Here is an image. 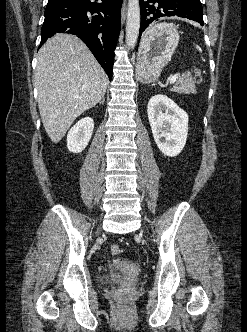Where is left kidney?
<instances>
[{
    "mask_svg": "<svg viewBox=\"0 0 247 332\" xmlns=\"http://www.w3.org/2000/svg\"><path fill=\"white\" fill-rule=\"evenodd\" d=\"M148 120L156 145L169 157L184 148L188 134V114L166 95H155L148 103Z\"/></svg>",
    "mask_w": 247,
    "mask_h": 332,
    "instance_id": "5707ae66",
    "label": "left kidney"
}]
</instances>
